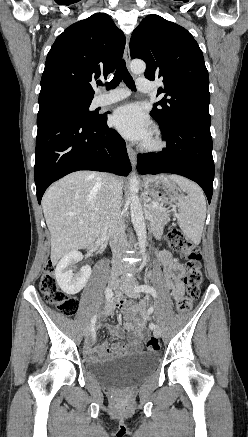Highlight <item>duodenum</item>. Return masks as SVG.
Wrapping results in <instances>:
<instances>
[{"label":"duodenum","instance_id":"410a0bca","mask_svg":"<svg viewBox=\"0 0 248 437\" xmlns=\"http://www.w3.org/2000/svg\"><path fill=\"white\" fill-rule=\"evenodd\" d=\"M105 238V234L103 233L100 237L101 240H103Z\"/></svg>","mask_w":248,"mask_h":437}]
</instances>
